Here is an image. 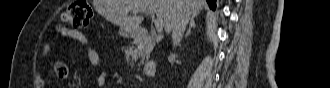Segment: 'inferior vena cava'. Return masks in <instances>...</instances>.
I'll return each mask as SVG.
<instances>
[{
  "mask_svg": "<svg viewBox=\"0 0 330 88\" xmlns=\"http://www.w3.org/2000/svg\"><path fill=\"white\" fill-rule=\"evenodd\" d=\"M190 15L191 14L189 11H183L175 21L172 29V42L174 47L180 45L186 26L190 19Z\"/></svg>",
  "mask_w": 330,
  "mask_h": 88,
  "instance_id": "inferior-vena-cava-1",
  "label": "inferior vena cava"
}]
</instances>
